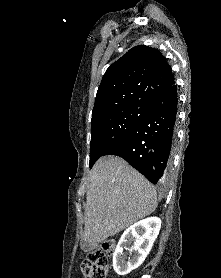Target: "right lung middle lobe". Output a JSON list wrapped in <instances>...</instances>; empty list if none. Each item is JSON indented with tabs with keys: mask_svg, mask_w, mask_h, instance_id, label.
Segmentation results:
<instances>
[{
	"mask_svg": "<svg viewBox=\"0 0 221 278\" xmlns=\"http://www.w3.org/2000/svg\"><path fill=\"white\" fill-rule=\"evenodd\" d=\"M148 111L146 101H135L92 118L90 167L112 143L128 134Z\"/></svg>",
	"mask_w": 221,
	"mask_h": 278,
	"instance_id": "obj_1",
	"label": "right lung middle lobe"
}]
</instances>
